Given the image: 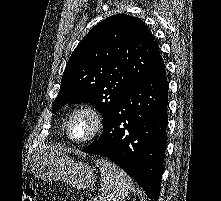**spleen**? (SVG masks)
<instances>
[{
  "label": "spleen",
  "instance_id": "obj_1",
  "mask_svg": "<svg viewBox=\"0 0 221 201\" xmlns=\"http://www.w3.org/2000/svg\"><path fill=\"white\" fill-rule=\"evenodd\" d=\"M95 165L101 171L100 201H125L135 190L129 176L116 164L106 159H96Z\"/></svg>",
  "mask_w": 221,
  "mask_h": 201
}]
</instances>
